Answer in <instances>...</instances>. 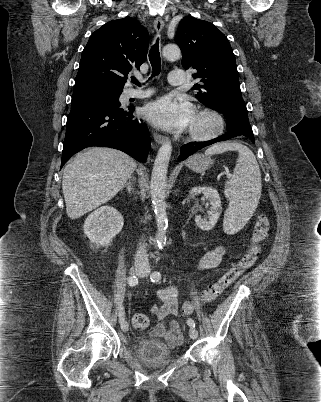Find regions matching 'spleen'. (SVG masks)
Wrapping results in <instances>:
<instances>
[{
  "label": "spleen",
  "mask_w": 321,
  "mask_h": 402,
  "mask_svg": "<svg viewBox=\"0 0 321 402\" xmlns=\"http://www.w3.org/2000/svg\"><path fill=\"white\" fill-rule=\"evenodd\" d=\"M226 151L239 153L232 178L225 183V196L229 207L224 214L223 228L234 234L244 227L257 208L261 197V172L253 152L237 142L212 145L205 155H216Z\"/></svg>",
  "instance_id": "1"
}]
</instances>
